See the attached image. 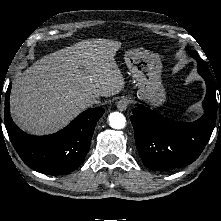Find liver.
Wrapping results in <instances>:
<instances>
[{"instance_id": "1", "label": "liver", "mask_w": 221, "mask_h": 221, "mask_svg": "<svg viewBox=\"0 0 221 221\" xmlns=\"http://www.w3.org/2000/svg\"><path fill=\"white\" fill-rule=\"evenodd\" d=\"M122 43L107 39L82 40L37 60L13 81L10 108L24 131L56 132L86 108L88 97H110L124 88L115 62Z\"/></svg>"}]
</instances>
